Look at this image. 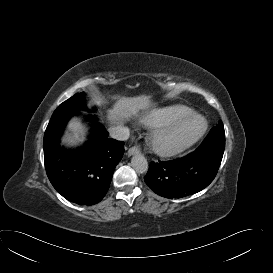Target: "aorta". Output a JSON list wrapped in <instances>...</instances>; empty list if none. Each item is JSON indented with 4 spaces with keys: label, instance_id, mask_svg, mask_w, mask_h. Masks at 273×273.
Instances as JSON below:
<instances>
[{
    "label": "aorta",
    "instance_id": "aorta-1",
    "mask_svg": "<svg viewBox=\"0 0 273 273\" xmlns=\"http://www.w3.org/2000/svg\"><path fill=\"white\" fill-rule=\"evenodd\" d=\"M131 165L137 173H146L149 167L146 158L140 153L132 157Z\"/></svg>",
    "mask_w": 273,
    "mask_h": 273
}]
</instances>
